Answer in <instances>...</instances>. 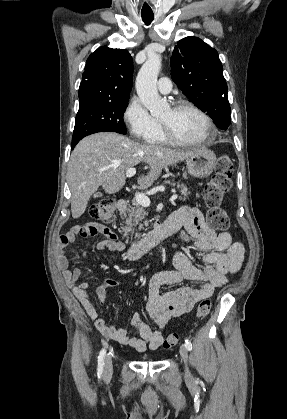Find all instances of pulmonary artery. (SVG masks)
<instances>
[{"label":"pulmonary artery","mask_w":287,"mask_h":419,"mask_svg":"<svg viewBox=\"0 0 287 419\" xmlns=\"http://www.w3.org/2000/svg\"><path fill=\"white\" fill-rule=\"evenodd\" d=\"M157 88H158L159 92H161L163 94H167L172 89V83H171V81L168 77H162V78L159 79V81L157 83Z\"/></svg>","instance_id":"e3ab8cb5"}]
</instances>
